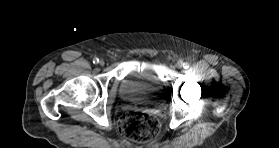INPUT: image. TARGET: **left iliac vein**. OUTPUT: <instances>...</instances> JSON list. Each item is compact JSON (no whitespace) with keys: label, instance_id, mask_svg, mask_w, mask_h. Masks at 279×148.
<instances>
[{"label":"left iliac vein","instance_id":"obj_1","mask_svg":"<svg viewBox=\"0 0 279 148\" xmlns=\"http://www.w3.org/2000/svg\"><path fill=\"white\" fill-rule=\"evenodd\" d=\"M176 66L178 67V68H181L182 67V62H177V64H176Z\"/></svg>","mask_w":279,"mask_h":148}]
</instances>
